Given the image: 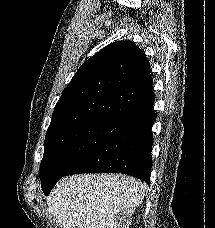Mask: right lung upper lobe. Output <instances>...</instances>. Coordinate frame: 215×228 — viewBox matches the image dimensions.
Returning <instances> with one entry per match:
<instances>
[{
  "instance_id": "obj_1",
  "label": "right lung upper lobe",
  "mask_w": 215,
  "mask_h": 228,
  "mask_svg": "<svg viewBox=\"0 0 215 228\" xmlns=\"http://www.w3.org/2000/svg\"><path fill=\"white\" fill-rule=\"evenodd\" d=\"M154 101L145 54L130 41L114 42L79 68L55 105L47 134L97 117L129 123L150 114Z\"/></svg>"
}]
</instances>
